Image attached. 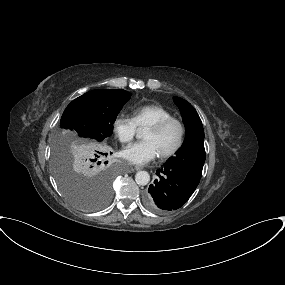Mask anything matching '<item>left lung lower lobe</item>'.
I'll list each match as a JSON object with an SVG mask.
<instances>
[{"label":"left lung lower lobe","mask_w":285,"mask_h":285,"mask_svg":"<svg viewBox=\"0 0 285 285\" xmlns=\"http://www.w3.org/2000/svg\"><path fill=\"white\" fill-rule=\"evenodd\" d=\"M156 174L144 197L146 206L156 212H168L183 206L195 191L200 178L181 169L164 165Z\"/></svg>","instance_id":"left-lung-lower-lobe-1"}]
</instances>
